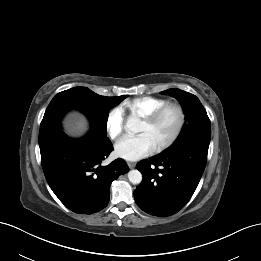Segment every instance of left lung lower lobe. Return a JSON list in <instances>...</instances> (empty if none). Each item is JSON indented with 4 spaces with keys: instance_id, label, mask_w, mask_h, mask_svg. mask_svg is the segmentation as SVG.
Wrapping results in <instances>:
<instances>
[{
    "instance_id": "left-lung-lower-lobe-1",
    "label": "left lung lower lobe",
    "mask_w": 261,
    "mask_h": 261,
    "mask_svg": "<svg viewBox=\"0 0 261 261\" xmlns=\"http://www.w3.org/2000/svg\"><path fill=\"white\" fill-rule=\"evenodd\" d=\"M209 144L189 142L137 164L143 180L134 191L137 205L146 213L166 217L190 200L205 169Z\"/></svg>"
}]
</instances>
